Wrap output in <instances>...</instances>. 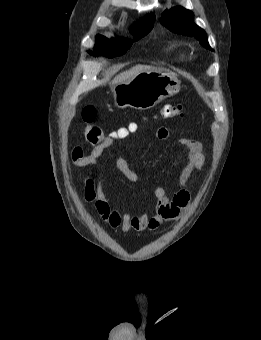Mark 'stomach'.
I'll list each match as a JSON object with an SVG mask.
<instances>
[{
	"label": "stomach",
	"instance_id": "obj_1",
	"mask_svg": "<svg viewBox=\"0 0 261 340\" xmlns=\"http://www.w3.org/2000/svg\"><path fill=\"white\" fill-rule=\"evenodd\" d=\"M179 90L180 81L173 73L158 70L144 71L112 88L117 108L131 107L137 110L153 108Z\"/></svg>",
	"mask_w": 261,
	"mask_h": 340
}]
</instances>
